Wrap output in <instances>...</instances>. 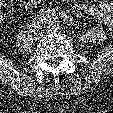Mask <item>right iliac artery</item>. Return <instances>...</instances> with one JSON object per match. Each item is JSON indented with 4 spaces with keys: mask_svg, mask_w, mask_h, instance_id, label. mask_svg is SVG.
Wrapping results in <instances>:
<instances>
[{
    "mask_svg": "<svg viewBox=\"0 0 113 113\" xmlns=\"http://www.w3.org/2000/svg\"><path fill=\"white\" fill-rule=\"evenodd\" d=\"M64 15L65 13L63 11L56 12L54 9H48L47 11L42 10L37 16H35L28 28L33 31L50 16L63 18Z\"/></svg>",
    "mask_w": 113,
    "mask_h": 113,
    "instance_id": "obj_1",
    "label": "right iliac artery"
}]
</instances>
